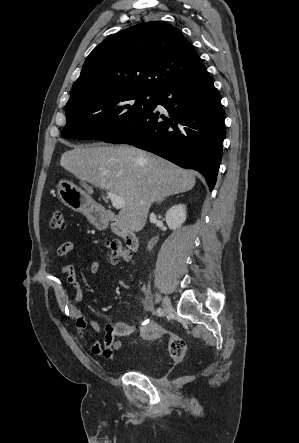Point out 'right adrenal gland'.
I'll return each mask as SVG.
<instances>
[{
  "instance_id": "obj_1",
  "label": "right adrenal gland",
  "mask_w": 299,
  "mask_h": 443,
  "mask_svg": "<svg viewBox=\"0 0 299 443\" xmlns=\"http://www.w3.org/2000/svg\"><path fill=\"white\" fill-rule=\"evenodd\" d=\"M164 200H165V199H161V200H159V201L157 202V204L163 202Z\"/></svg>"
}]
</instances>
